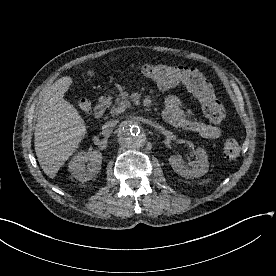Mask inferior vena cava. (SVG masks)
Listing matches in <instances>:
<instances>
[{
	"instance_id": "obj_1",
	"label": "inferior vena cava",
	"mask_w": 276,
	"mask_h": 276,
	"mask_svg": "<svg viewBox=\"0 0 276 276\" xmlns=\"http://www.w3.org/2000/svg\"><path fill=\"white\" fill-rule=\"evenodd\" d=\"M117 122H118L117 120H111L106 122L102 127L103 133L104 134L110 133L113 130V128L117 125Z\"/></svg>"
}]
</instances>
